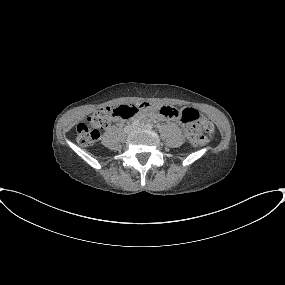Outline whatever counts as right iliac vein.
Returning <instances> with one entry per match:
<instances>
[{
	"instance_id": "63e3f726",
	"label": "right iliac vein",
	"mask_w": 285,
	"mask_h": 285,
	"mask_svg": "<svg viewBox=\"0 0 285 285\" xmlns=\"http://www.w3.org/2000/svg\"><path fill=\"white\" fill-rule=\"evenodd\" d=\"M124 131H125L126 133H130V132L132 131V126H127V127H125Z\"/></svg>"
}]
</instances>
